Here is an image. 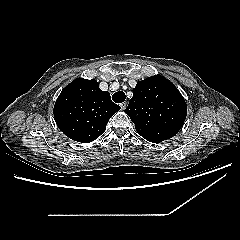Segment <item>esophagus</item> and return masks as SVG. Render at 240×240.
I'll list each match as a JSON object with an SVG mask.
<instances>
[{
  "mask_svg": "<svg viewBox=\"0 0 240 240\" xmlns=\"http://www.w3.org/2000/svg\"><path fill=\"white\" fill-rule=\"evenodd\" d=\"M126 106H127L126 102H123V103L120 104V107H121L122 110H124L126 108Z\"/></svg>",
  "mask_w": 240,
  "mask_h": 240,
  "instance_id": "1",
  "label": "esophagus"
}]
</instances>
